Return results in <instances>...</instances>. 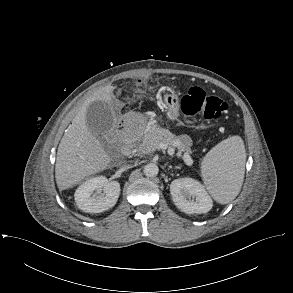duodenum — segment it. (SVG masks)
<instances>
[{"mask_svg":"<svg viewBox=\"0 0 293 293\" xmlns=\"http://www.w3.org/2000/svg\"><path fill=\"white\" fill-rule=\"evenodd\" d=\"M118 134L123 137V136H129L130 135V131L127 128V122H126V118H122L121 119V123L119 126V132ZM131 145L129 143H126L123 147H122V152L124 154H129L131 152Z\"/></svg>","mask_w":293,"mask_h":293,"instance_id":"obj_1","label":"duodenum"}]
</instances>
